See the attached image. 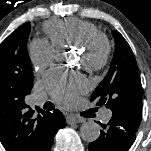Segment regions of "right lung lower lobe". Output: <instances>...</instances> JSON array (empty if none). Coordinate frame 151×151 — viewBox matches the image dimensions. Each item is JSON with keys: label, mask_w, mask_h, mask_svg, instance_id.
I'll return each mask as SVG.
<instances>
[{"label": "right lung lower lobe", "mask_w": 151, "mask_h": 151, "mask_svg": "<svg viewBox=\"0 0 151 151\" xmlns=\"http://www.w3.org/2000/svg\"><path fill=\"white\" fill-rule=\"evenodd\" d=\"M45 119V130L47 134L43 151H50L55 134L59 129L64 128L66 123L64 116L58 109H55L52 113L45 112Z\"/></svg>", "instance_id": "98d812e1"}]
</instances>
